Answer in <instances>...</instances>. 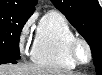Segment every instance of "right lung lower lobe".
Wrapping results in <instances>:
<instances>
[{
    "label": "right lung lower lobe",
    "mask_w": 102,
    "mask_h": 75,
    "mask_svg": "<svg viewBox=\"0 0 102 75\" xmlns=\"http://www.w3.org/2000/svg\"><path fill=\"white\" fill-rule=\"evenodd\" d=\"M5 63H13V64H16L17 61L15 59H9V58L0 59V64H5Z\"/></svg>",
    "instance_id": "98d812e1"
}]
</instances>
